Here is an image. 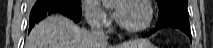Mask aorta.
<instances>
[{
  "label": "aorta",
  "mask_w": 213,
  "mask_h": 48,
  "mask_svg": "<svg viewBox=\"0 0 213 48\" xmlns=\"http://www.w3.org/2000/svg\"><path fill=\"white\" fill-rule=\"evenodd\" d=\"M104 3H113L114 0H102Z\"/></svg>",
  "instance_id": "1"
}]
</instances>
